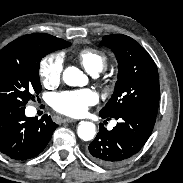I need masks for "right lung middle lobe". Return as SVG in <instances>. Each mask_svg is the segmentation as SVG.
I'll return each mask as SVG.
<instances>
[{
  "label": "right lung middle lobe",
  "mask_w": 183,
  "mask_h": 183,
  "mask_svg": "<svg viewBox=\"0 0 183 183\" xmlns=\"http://www.w3.org/2000/svg\"><path fill=\"white\" fill-rule=\"evenodd\" d=\"M71 44L68 43L67 47ZM45 49L32 48L21 57L0 60V108L9 105L25 106L39 94L41 84L39 65L47 55Z\"/></svg>",
  "instance_id": "1"
}]
</instances>
